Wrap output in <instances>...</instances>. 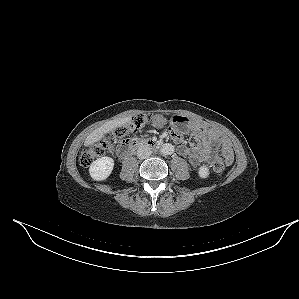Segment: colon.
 <instances>
[{
    "mask_svg": "<svg viewBox=\"0 0 299 299\" xmlns=\"http://www.w3.org/2000/svg\"><path fill=\"white\" fill-rule=\"evenodd\" d=\"M151 120V117L140 115L132 118L128 124L118 126L112 134L83 150L80 155V163L85 167L90 166L97 158L105 153V150L111 144L112 140L124 138L129 133L141 130ZM188 142L191 145L197 146L201 142V135L198 132H191L188 135ZM224 167V161L220 157H217L213 163V170L219 173L224 170Z\"/></svg>",
    "mask_w": 299,
    "mask_h": 299,
    "instance_id": "1",
    "label": "colon"
}]
</instances>
